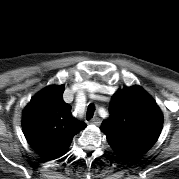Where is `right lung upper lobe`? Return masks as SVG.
<instances>
[{"label":"right lung upper lobe","mask_w":179,"mask_h":179,"mask_svg":"<svg viewBox=\"0 0 179 179\" xmlns=\"http://www.w3.org/2000/svg\"><path fill=\"white\" fill-rule=\"evenodd\" d=\"M63 86H49L37 93L23 113V130L28 142L39 152L65 151L75 134L86 127L71 115L63 101Z\"/></svg>","instance_id":"right-lung-upper-lobe-1"}]
</instances>
